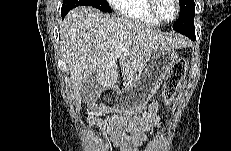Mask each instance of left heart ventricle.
<instances>
[{"instance_id":"obj_1","label":"left heart ventricle","mask_w":231,"mask_h":151,"mask_svg":"<svg viewBox=\"0 0 231 151\" xmlns=\"http://www.w3.org/2000/svg\"><path fill=\"white\" fill-rule=\"evenodd\" d=\"M158 12L165 19L172 18L175 14V6L173 0H159Z\"/></svg>"}]
</instances>
